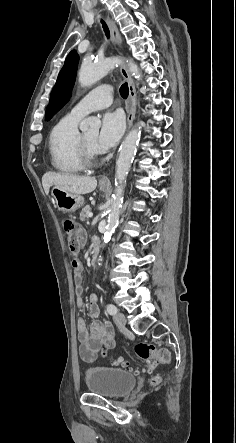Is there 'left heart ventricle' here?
Wrapping results in <instances>:
<instances>
[{"mask_svg":"<svg viewBox=\"0 0 236 443\" xmlns=\"http://www.w3.org/2000/svg\"><path fill=\"white\" fill-rule=\"evenodd\" d=\"M83 136H84L86 142H87V143H88L93 149H95V148H94V144H95V140H96V137H97V130H90V131H87V132L83 133Z\"/></svg>","mask_w":236,"mask_h":443,"instance_id":"b2bd125f","label":"left heart ventricle"}]
</instances>
